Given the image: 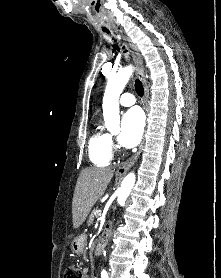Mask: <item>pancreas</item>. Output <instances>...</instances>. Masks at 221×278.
Instances as JSON below:
<instances>
[{"label":"pancreas","instance_id":"cf45deb5","mask_svg":"<svg viewBox=\"0 0 221 278\" xmlns=\"http://www.w3.org/2000/svg\"><path fill=\"white\" fill-rule=\"evenodd\" d=\"M96 211H97V209H94V210L91 212V214H90V216H89V220H88V223H89V224H92L93 221H94V218L98 216V215L96 214Z\"/></svg>","mask_w":221,"mask_h":278}]
</instances>
